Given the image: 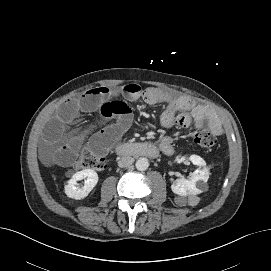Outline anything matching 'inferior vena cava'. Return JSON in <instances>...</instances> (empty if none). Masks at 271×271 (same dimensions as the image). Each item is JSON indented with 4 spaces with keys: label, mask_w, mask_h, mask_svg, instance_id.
Segmentation results:
<instances>
[{
    "label": "inferior vena cava",
    "mask_w": 271,
    "mask_h": 271,
    "mask_svg": "<svg viewBox=\"0 0 271 271\" xmlns=\"http://www.w3.org/2000/svg\"><path fill=\"white\" fill-rule=\"evenodd\" d=\"M133 162H134V158H132L131 156H124L118 160V166L119 167H128V166L132 165Z\"/></svg>",
    "instance_id": "inferior-vena-cava-1"
}]
</instances>
